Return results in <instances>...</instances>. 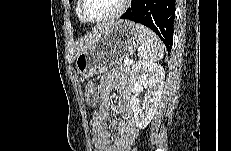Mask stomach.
Here are the masks:
<instances>
[{
	"instance_id": "obj_1",
	"label": "stomach",
	"mask_w": 231,
	"mask_h": 151,
	"mask_svg": "<svg viewBox=\"0 0 231 151\" xmlns=\"http://www.w3.org/2000/svg\"><path fill=\"white\" fill-rule=\"evenodd\" d=\"M139 41L134 22H113L93 45L76 58V69L83 79L101 74L113 64L127 58L138 48Z\"/></svg>"
}]
</instances>
